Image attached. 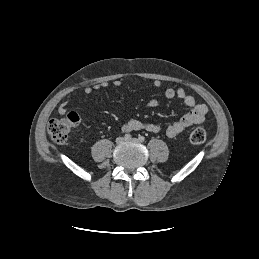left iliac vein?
<instances>
[{
  "label": "left iliac vein",
  "mask_w": 259,
  "mask_h": 259,
  "mask_svg": "<svg viewBox=\"0 0 259 259\" xmlns=\"http://www.w3.org/2000/svg\"><path fill=\"white\" fill-rule=\"evenodd\" d=\"M128 141H131V142H138V139H136V138H131V139H129Z\"/></svg>",
  "instance_id": "1"
}]
</instances>
